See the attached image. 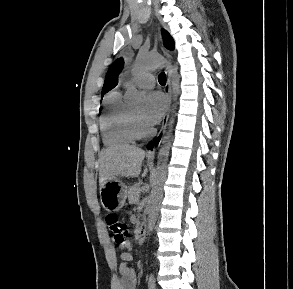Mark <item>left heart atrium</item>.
I'll return each instance as SVG.
<instances>
[{"label": "left heart atrium", "mask_w": 293, "mask_h": 289, "mask_svg": "<svg viewBox=\"0 0 293 289\" xmlns=\"http://www.w3.org/2000/svg\"><path fill=\"white\" fill-rule=\"evenodd\" d=\"M167 109V101L160 92H150L146 97V106L143 114V122L147 126L158 123Z\"/></svg>", "instance_id": "1"}]
</instances>
